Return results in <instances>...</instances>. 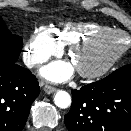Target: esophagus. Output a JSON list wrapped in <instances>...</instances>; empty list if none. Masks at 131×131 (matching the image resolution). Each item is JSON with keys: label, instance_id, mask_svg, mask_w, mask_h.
Returning a JSON list of instances; mask_svg holds the SVG:
<instances>
[{"label": "esophagus", "instance_id": "obj_1", "mask_svg": "<svg viewBox=\"0 0 131 131\" xmlns=\"http://www.w3.org/2000/svg\"><path fill=\"white\" fill-rule=\"evenodd\" d=\"M44 91H45V93H47V94H52L53 92L56 91V88L53 87V86H51V85H45Z\"/></svg>", "mask_w": 131, "mask_h": 131}]
</instances>
